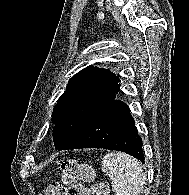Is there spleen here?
Returning <instances> with one entry per match:
<instances>
[{"label":"spleen","instance_id":"spleen-1","mask_svg":"<svg viewBox=\"0 0 189 195\" xmlns=\"http://www.w3.org/2000/svg\"><path fill=\"white\" fill-rule=\"evenodd\" d=\"M102 169L112 183L115 195H140L144 191L146 175L140 162L123 152L106 154Z\"/></svg>","mask_w":189,"mask_h":195}]
</instances>
